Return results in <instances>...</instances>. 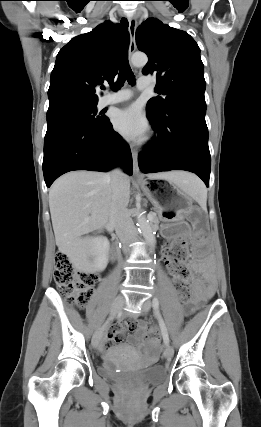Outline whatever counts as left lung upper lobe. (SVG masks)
<instances>
[{"instance_id": "left-lung-upper-lobe-1", "label": "left lung upper lobe", "mask_w": 261, "mask_h": 427, "mask_svg": "<svg viewBox=\"0 0 261 427\" xmlns=\"http://www.w3.org/2000/svg\"><path fill=\"white\" fill-rule=\"evenodd\" d=\"M136 44L149 58L143 74H156V92L164 95L148 101L146 110L150 114L161 117L181 101L206 104L200 48L188 33L150 18L137 29Z\"/></svg>"}]
</instances>
